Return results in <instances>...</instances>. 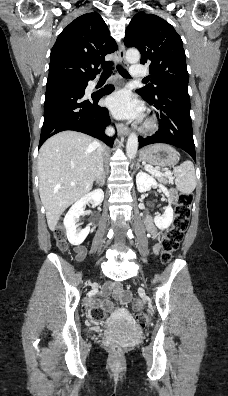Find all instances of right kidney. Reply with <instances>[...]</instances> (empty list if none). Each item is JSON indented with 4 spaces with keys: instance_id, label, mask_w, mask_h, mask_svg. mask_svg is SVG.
I'll return each mask as SVG.
<instances>
[{
    "instance_id": "ca27d5eb",
    "label": "right kidney",
    "mask_w": 228,
    "mask_h": 396,
    "mask_svg": "<svg viewBox=\"0 0 228 396\" xmlns=\"http://www.w3.org/2000/svg\"><path fill=\"white\" fill-rule=\"evenodd\" d=\"M104 192L101 189H96L75 202L69 209L64 218V227L66 229V235L68 241L72 245H80L84 242L90 232V227L87 226L82 230H77L76 222L79 217L84 215V209L88 202H91L93 206H97L103 202Z\"/></svg>"
}]
</instances>
